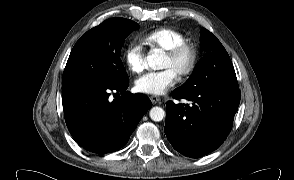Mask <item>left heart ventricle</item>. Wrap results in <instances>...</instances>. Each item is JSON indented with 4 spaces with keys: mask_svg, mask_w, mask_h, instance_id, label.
<instances>
[{
    "mask_svg": "<svg viewBox=\"0 0 294 180\" xmlns=\"http://www.w3.org/2000/svg\"><path fill=\"white\" fill-rule=\"evenodd\" d=\"M188 58L186 55H183L177 60H171L166 55L163 58L162 67L163 68H170L176 74L187 64Z\"/></svg>",
    "mask_w": 294,
    "mask_h": 180,
    "instance_id": "1",
    "label": "left heart ventricle"
}]
</instances>
